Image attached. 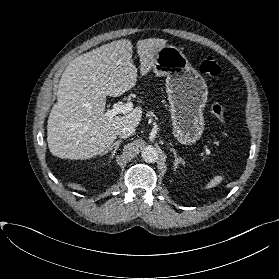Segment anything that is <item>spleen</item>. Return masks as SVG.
<instances>
[{
	"label": "spleen",
	"instance_id": "3e777b00",
	"mask_svg": "<svg viewBox=\"0 0 279 279\" xmlns=\"http://www.w3.org/2000/svg\"><path fill=\"white\" fill-rule=\"evenodd\" d=\"M222 180V177L221 176H217L215 177L209 184H208V187H214L216 186L217 184H219Z\"/></svg>",
	"mask_w": 279,
	"mask_h": 279
}]
</instances>
